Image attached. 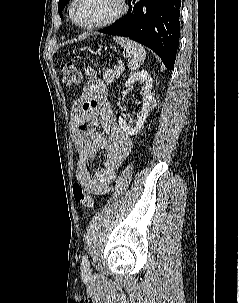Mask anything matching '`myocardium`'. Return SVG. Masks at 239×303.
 <instances>
[{
	"instance_id": "1",
	"label": "myocardium",
	"mask_w": 239,
	"mask_h": 303,
	"mask_svg": "<svg viewBox=\"0 0 239 303\" xmlns=\"http://www.w3.org/2000/svg\"><path fill=\"white\" fill-rule=\"evenodd\" d=\"M78 2H79V0L72 1L71 6H70V17H71L72 22L76 26H78L82 29H86V30H92V29H98V28L110 26V25L116 23L117 21H119L128 11L127 0H118L119 9L111 17H109L105 20L99 21V22L92 23V24H81L78 22V20L76 18V14H75L76 5Z\"/></svg>"
}]
</instances>
